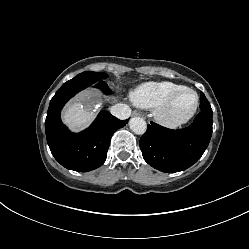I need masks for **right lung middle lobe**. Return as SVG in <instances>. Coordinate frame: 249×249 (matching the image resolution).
<instances>
[{"mask_svg": "<svg viewBox=\"0 0 249 249\" xmlns=\"http://www.w3.org/2000/svg\"><path fill=\"white\" fill-rule=\"evenodd\" d=\"M107 77H108V75L106 73L86 71V72L78 74L73 79H75V80H85V81L87 80L91 84H94V83H97L99 81H103Z\"/></svg>", "mask_w": 249, "mask_h": 249, "instance_id": "right-lung-middle-lobe-1", "label": "right lung middle lobe"}]
</instances>
